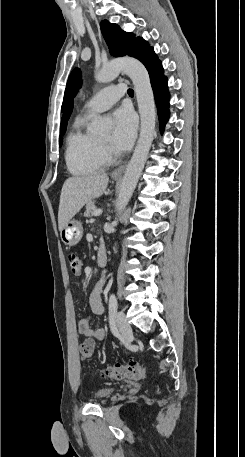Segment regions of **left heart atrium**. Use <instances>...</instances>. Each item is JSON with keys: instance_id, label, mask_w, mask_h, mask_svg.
I'll use <instances>...</instances> for the list:
<instances>
[{"instance_id": "1", "label": "left heart atrium", "mask_w": 245, "mask_h": 457, "mask_svg": "<svg viewBox=\"0 0 245 457\" xmlns=\"http://www.w3.org/2000/svg\"><path fill=\"white\" fill-rule=\"evenodd\" d=\"M114 133L112 137V147L125 151L134 139L137 120L134 112L127 108L121 107L113 113Z\"/></svg>"}]
</instances>
